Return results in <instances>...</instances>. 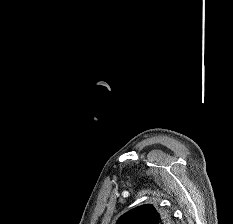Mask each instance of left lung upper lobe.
Listing matches in <instances>:
<instances>
[{
    "label": "left lung upper lobe",
    "mask_w": 233,
    "mask_h": 224,
    "mask_svg": "<svg viewBox=\"0 0 233 224\" xmlns=\"http://www.w3.org/2000/svg\"><path fill=\"white\" fill-rule=\"evenodd\" d=\"M171 217L151 204L138 206L122 215L116 224H170Z\"/></svg>",
    "instance_id": "left-lung-upper-lobe-1"
}]
</instances>
